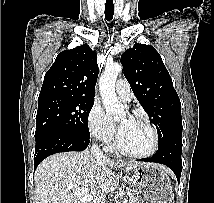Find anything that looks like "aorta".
<instances>
[{"mask_svg":"<svg viewBox=\"0 0 214 203\" xmlns=\"http://www.w3.org/2000/svg\"><path fill=\"white\" fill-rule=\"evenodd\" d=\"M121 71L122 66L119 63L107 64L99 80L102 102L106 112L112 114L114 119H119L125 116V111L119 104L115 93L116 79Z\"/></svg>","mask_w":214,"mask_h":203,"instance_id":"762f6f07","label":"aorta"}]
</instances>
